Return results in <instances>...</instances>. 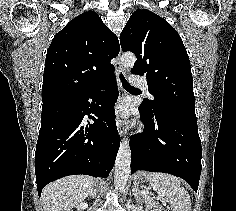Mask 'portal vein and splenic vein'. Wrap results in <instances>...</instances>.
<instances>
[{"instance_id": "portal-vein-and-splenic-vein-1", "label": "portal vein and splenic vein", "mask_w": 236, "mask_h": 211, "mask_svg": "<svg viewBox=\"0 0 236 211\" xmlns=\"http://www.w3.org/2000/svg\"><path fill=\"white\" fill-rule=\"evenodd\" d=\"M140 194H141V195L147 194V192H146V191H142Z\"/></svg>"}]
</instances>
